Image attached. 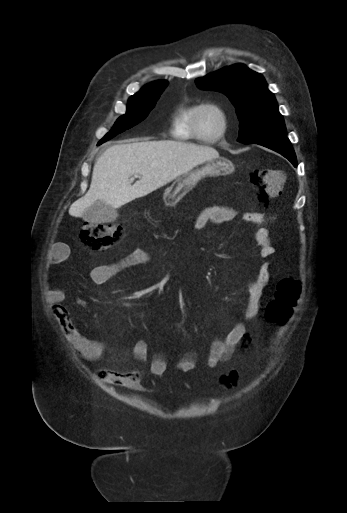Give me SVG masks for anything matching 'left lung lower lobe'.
Here are the masks:
<instances>
[{"label": "left lung lower lobe", "mask_w": 347, "mask_h": 513, "mask_svg": "<svg viewBox=\"0 0 347 513\" xmlns=\"http://www.w3.org/2000/svg\"><path fill=\"white\" fill-rule=\"evenodd\" d=\"M257 144L265 146L269 149H272L284 157H286L295 167L297 166L296 163V155L294 153V150L291 146V143L288 138L286 137H276V138H270L264 141H259Z\"/></svg>", "instance_id": "0a47b994"}]
</instances>
